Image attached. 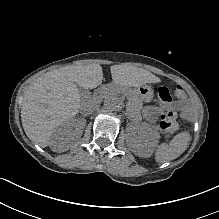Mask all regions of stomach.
<instances>
[{"label":"stomach","instance_id":"1","mask_svg":"<svg viewBox=\"0 0 219 219\" xmlns=\"http://www.w3.org/2000/svg\"><path fill=\"white\" fill-rule=\"evenodd\" d=\"M140 99L147 100L152 93V89L149 86L142 85L134 90Z\"/></svg>","mask_w":219,"mask_h":219}]
</instances>
